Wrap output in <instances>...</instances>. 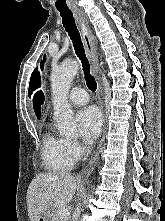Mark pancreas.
Masks as SVG:
<instances>
[{"mask_svg":"<svg viewBox=\"0 0 165 221\" xmlns=\"http://www.w3.org/2000/svg\"><path fill=\"white\" fill-rule=\"evenodd\" d=\"M59 209H60V208H56V209L54 210L52 221H69V216L66 217V218H63V217H61V216L59 215V212H58Z\"/></svg>","mask_w":165,"mask_h":221,"instance_id":"cf45deb5","label":"pancreas"}]
</instances>
